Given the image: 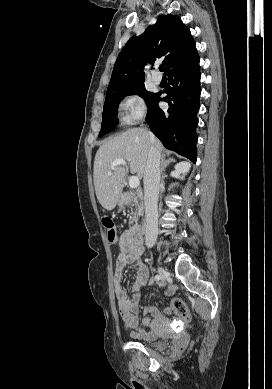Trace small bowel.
Returning a JSON list of instances; mask_svg holds the SVG:
<instances>
[{"label": "small bowel", "mask_w": 272, "mask_h": 389, "mask_svg": "<svg viewBox=\"0 0 272 389\" xmlns=\"http://www.w3.org/2000/svg\"><path fill=\"white\" fill-rule=\"evenodd\" d=\"M120 252L116 259L114 273V291L118 302L119 313L124 325L130 330L132 337L137 339L150 340L153 333L147 327L154 319L160 316L158 309L152 305L143 308L145 317L139 321L140 290L147 283L149 277L148 267L142 261L143 247L133 245L128 238V231L121 234L119 238ZM133 264L137 270V279L132 285L134 292L130 298L122 287V275L126 265ZM173 288L168 287L165 294L171 295ZM171 310L166 309L169 313Z\"/></svg>", "instance_id": "obj_1"}]
</instances>
